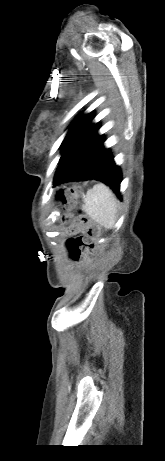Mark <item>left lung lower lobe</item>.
Instances as JSON below:
<instances>
[{
  "label": "left lung lower lobe",
  "instance_id": "left-lung-lower-lobe-1",
  "mask_svg": "<svg viewBox=\"0 0 165 461\" xmlns=\"http://www.w3.org/2000/svg\"><path fill=\"white\" fill-rule=\"evenodd\" d=\"M98 129L99 125H94L60 161L53 185L94 179L110 186L121 198L122 173L109 149L104 148L103 135L97 134Z\"/></svg>",
  "mask_w": 165,
  "mask_h": 461
}]
</instances>
